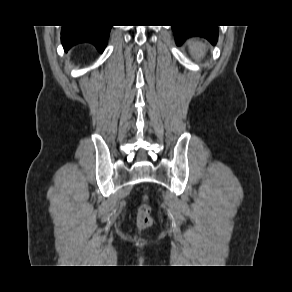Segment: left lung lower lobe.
Listing matches in <instances>:
<instances>
[{
  "mask_svg": "<svg viewBox=\"0 0 292 292\" xmlns=\"http://www.w3.org/2000/svg\"><path fill=\"white\" fill-rule=\"evenodd\" d=\"M176 43L182 44L187 38L192 36H201L215 44L218 38L217 26L209 25H176L172 26Z\"/></svg>",
  "mask_w": 292,
  "mask_h": 292,
  "instance_id": "obj_1",
  "label": "left lung lower lobe"
}]
</instances>
